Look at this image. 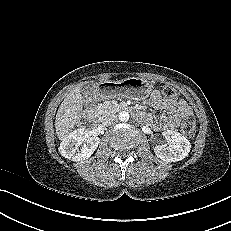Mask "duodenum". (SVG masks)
I'll use <instances>...</instances> for the list:
<instances>
[{
    "instance_id": "410a0bca",
    "label": "duodenum",
    "mask_w": 231,
    "mask_h": 231,
    "mask_svg": "<svg viewBox=\"0 0 231 231\" xmlns=\"http://www.w3.org/2000/svg\"><path fill=\"white\" fill-rule=\"evenodd\" d=\"M104 90L105 89H102V91H104ZM121 109L122 110H130L131 108L129 105L124 104L121 106ZM95 117H96V112H95L93 104H91L87 107L86 118H87V120L93 121L95 119Z\"/></svg>"
}]
</instances>
